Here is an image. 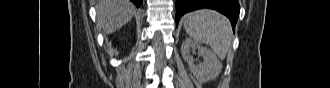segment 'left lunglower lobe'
Returning a JSON list of instances; mask_svg holds the SVG:
<instances>
[{
  "instance_id": "0a47b994",
  "label": "left lung lower lobe",
  "mask_w": 330,
  "mask_h": 88,
  "mask_svg": "<svg viewBox=\"0 0 330 88\" xmlns=\"http://www.w3.org/2000/svg\"><path fill=\"white\" fill-rule=\"evenodd\" d=\"M201 8H211L226 15L235 32L240 12L238 0H176V26L183 14Z\"/></svg>"
}]
</instances>
